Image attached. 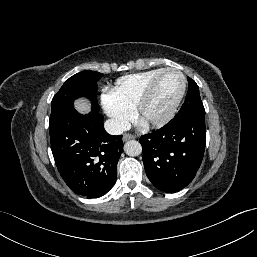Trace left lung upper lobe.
Returning a JSON list of instances; mask_svg holds the SVG:
<instances>
[{"mask_svg":"<svg viewBox=\"0 0 257 257\" xmlns=\"http://www.w3.org/2000/svg\"><path fill=\"white\" fill-rule=\"evenodd\" d=\"M189 89L184 104L175 117H182L188 114H204L205 109L200 98L198 85L191 78H187Z\"/></svg>","mask_w":257,"mask_h":257,"instance_id":"obj_1","label":"left lung upper lobe"}]
</instances>
